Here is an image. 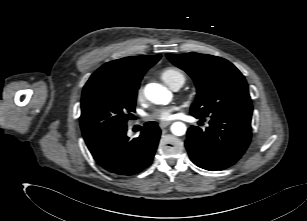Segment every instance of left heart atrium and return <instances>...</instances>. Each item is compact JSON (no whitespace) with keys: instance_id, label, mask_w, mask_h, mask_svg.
<instances>
[{"instance_id":"39dd6f15","label":"left heart atrium","mask_w":307,"mask_h":221,"mask_svg":"<svg viewBox=\"0 0 307 221\" xmlns=\"http://www.w3.org/2000/svg\"><path fill=\"white\" fill-rule=\"evenodd\" d=\"M176 108L173 106L161 107L155 109L148 118L159 122H168L174 118Z\"/></svg>"}]
</instances>
